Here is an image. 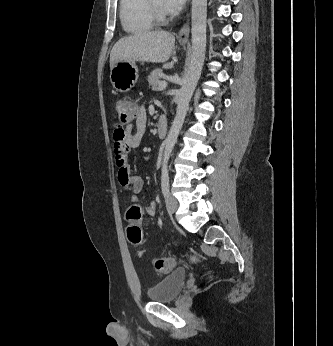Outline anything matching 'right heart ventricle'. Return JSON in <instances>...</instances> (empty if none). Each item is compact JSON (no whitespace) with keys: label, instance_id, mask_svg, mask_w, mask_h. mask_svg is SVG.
<instances>
[{"label":"right heart ventricle","instance_id":"right-heart-ventricle-1","mask_svg":"<svg viewBox=\"0 0 333 346\" xmlns=\"http://www.w3.org/2000/svg\"><path fill=\"white\" fill-rule=\"evenodd\" d=\"M119 14L123 29L130 34L146 32L154 26L148 0H120Z\"/></svg>","mask_w":333,"mask_h":346}]
</instances>
